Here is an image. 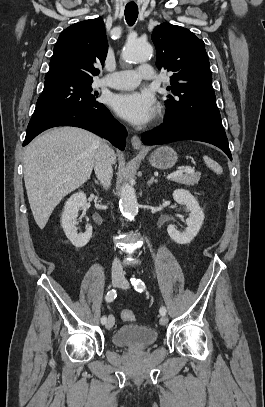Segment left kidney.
<instances>
[{
    "instance_id": "1",
    "label": "left kidney",
    "mask_w": 265,
    "mask_h": 407,
    "mask_svg": "<svg viewBox=\"0 0 265 407\" xmlns=\"http://www.w3.org/2000/svg\"><path fill=\"white\" fill-rule=\"evenodd\" d=\"M173 198L178 204L185 205L190 211L189 217L186 220L187 227L184 232H179L173 225L167 227V232L170 238L178 244L190 243L204 221V213L200 208L197 200L187 190L177 189L173 192Z\"/></svg>"
}]
</instances>
